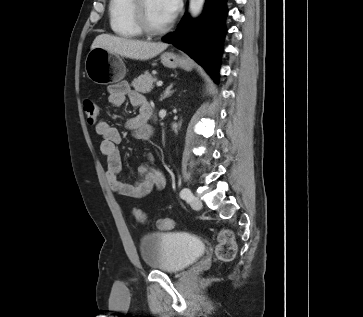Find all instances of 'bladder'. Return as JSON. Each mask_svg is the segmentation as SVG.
Returning a JSON list of instances; mask_svg holds the SVG:
<instances>
[{
    "label": "bladder",
    "mask_w": 363,
    "mask_h": 317,
    "mask_svg": "<svg viewBox=\"0 0 363 317\" xmlns=\"http://www.w3.org/2000/svg\"><path fill=\"white\" fill-rule=\"evenodd\" d=\"M204 251L203 242L185 232H150L139 240V253L143 264L165 274L184 271Z\"/></svg>",
    "instance_id": "31cf9c89"
}]
</instances>
